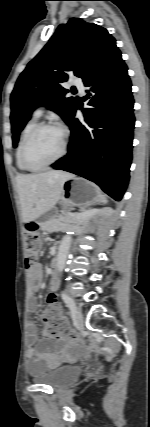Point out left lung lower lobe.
I'll use <instances>...</instances> for the list:
<instances>
[{"mask_svg":"<svg viewBox=\"0 0 150 427\" xmlns=\"http://www.w3.org/2000/svg\"><path fill=\"white\" fill-rule=\"evenodd\" d=\"M88 87L82 110L85 121L69 120L68 154L56 161L62 169L98 184L115 200H121L129 181L135 117L127 66L116 47L84 81Z\"/></svg>","mask_w":150,"mask_h":427,"instance_id":"left-lung-lower-lobe-1","label":"left lung lower lobe"}]
</instances>
